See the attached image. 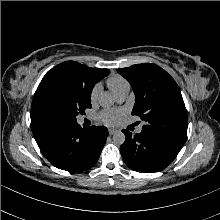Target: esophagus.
Segmentation results:
<instances>
[{
    "label": "esophagus",
    "instance_id": "1",
    "mask_svg": "<svg viewBox=\"0 0 220 220\" xmlns=\"http://www.w3.org/2000/svg\"><path fill=\"white\" fill-rule=\"evenodd\" d=\"M116 131H117L116 129L110 128L109 129V134L113 135Z\"/></svg>",
    "mask_w": 220,
    "mask_h": 220
}]
</instances>
